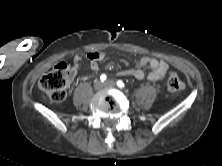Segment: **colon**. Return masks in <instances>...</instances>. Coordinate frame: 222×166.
<instances>
[{"label":"colon","instance_id":"colon-1","mask_svg":"<svg viewBox=\"0 0 222 166\" xmlns=\"http://www.w3.org/2000/svg\"><path fill=\"white\" fill-rule=\"evenodd\" d=\"M72 75L73 68L69 64L62 62L42 76L38 81V86L51 100L61 102L66 98ZM184 88L185 84L180 76L176 72H170L167 78L168 91L176 94L183 91Z\"/></svg>","mask_w":222,"mask_h":166}]
</instances>
